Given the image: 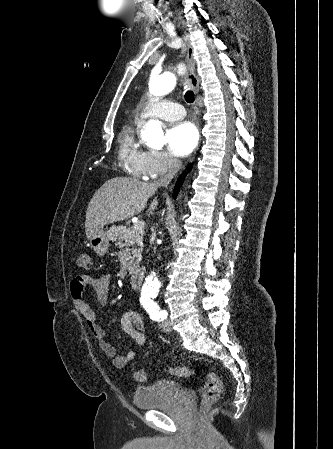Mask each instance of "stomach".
I'll use <instances>...</instances> for the list:
<instances>
[{
  "label": "stomach",
  "mask_w": 333,
  "mask_h": 449,
  "mask_svg": "<svg viewBox=\"0 0 333 449\" xmlns=\"http://www.w3.org/2000/svg\"><path fill=\"white\" fill-rule=\"evenodd\" d=\"M90 245L99 256H103L108 251L109 247V241L106 237V232L101 229L95 236L90 239Z\"/></svg>",
  "instance_id": "0dacf381"
}]
</instances>
